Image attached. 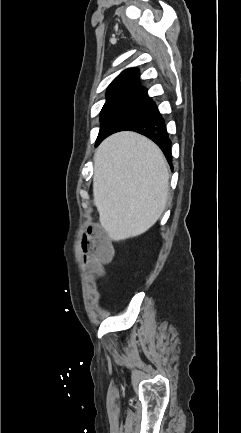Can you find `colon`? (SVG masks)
<instances>
[{
  "mask_svg": "<svg viewBox=\"0 0 241 433\" xmlns=\"http://www.w3.org/2000/svg\"><path fill=\"white\" fill-rule=\"evenodd\" d=\"M82 252L90 260L96 272H100L101 265L112 257V247L109 240L100 232L88 233L82 243Z\"/></svg>",
  "mask_w": 241,
  "mask_h": 433,
  "instance_id": "5ec220e1",
  "label": "colon"
}]
</instances>
